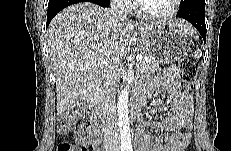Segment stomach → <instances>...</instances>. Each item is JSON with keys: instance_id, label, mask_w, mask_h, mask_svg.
I'll use <instances>...</instances> for the list:
<instances>
[{"instance_id": "1", "label": "stomach", "mask_w": 231, "mask_h": 151, "mask_svg": "<svg viewBox=\"0 0 231 151\" xmlns=\"http://www.w3.org/2000/svg\"><path fill=\"white\" fill-rule=\"evenodd\" d=\"M145 54L154 62L169 64L185 56L191 48V38L172 22H162L142 36Z\"/></svg>"}]
</instances>
